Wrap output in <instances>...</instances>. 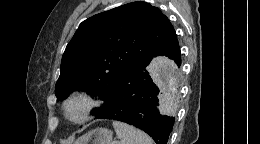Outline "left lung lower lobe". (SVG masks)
Wrapping results in <instances>:
<instances>
[{"label":"left lung lower lobe","instance_id":"0a47b994","mask_svg":"<svg viewBox=\"0 0 260 144\" xmlns=\"http://www.w3.org/2000/svg\"><path fill=\"white\" fill-rule=\"evenodd\" d=\"M167 56L180 67L181 53L177 37L162 47L153 57ZM152 57V58H153ZM152 58L137 63L120 79L112 93L109 107L98 119H113L133 125L149 134L156 144H167L175 118L167 112L160 114L158 102H165L145 69Z\"/></svg>","mask_w":260,"mask_h":144}]
</instances>
